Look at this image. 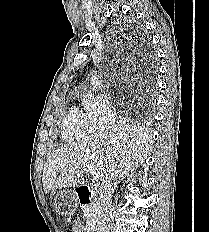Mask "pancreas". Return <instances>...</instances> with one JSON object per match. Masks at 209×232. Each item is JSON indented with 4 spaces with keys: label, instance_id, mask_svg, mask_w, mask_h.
Segmentation results:
<instances>
[{
    "label": "pancreas",
    "instance_id": "cf45deb5",
    "mask_svg": "<svg viewBox=\"0 0 209 232\" xmlns=\"http://www.w3.org/2000/svg\"><path fill=\"white\" fill-rule=\"evenodd\" d=\"M84 216L86 218L87 227H91L96 221L97 215V201H93L90 205H85L83 208Z\"/></svg>",
    "mask_w": 209,
    "mask_h": 232
}]
</instances>
